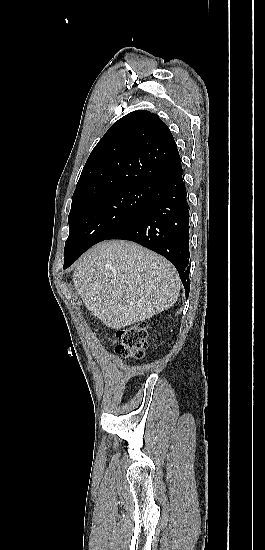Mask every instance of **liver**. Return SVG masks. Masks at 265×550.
Here are the masks:
<instances>
[{
  "label": "liver",
  "mask_w": 265,
  "mask_h": 550,
  "mask_svg": "<svg viewBox=\"0 0 265 550\" xmlns=\"http://www.w3.org/2000/svg\"><path fill=\"white\" fill-rule=\"evenodd\" d=\"M73 282L86 308L115 330L172 307L181 288L167 259L123 240L89 249L76 264Z\"/></svg>",
  "instance_id": "1"
}]
</instances>
